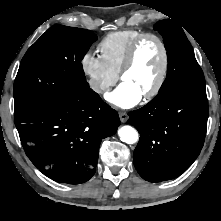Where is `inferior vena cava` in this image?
<instances>
[{
  "label": "inferior vena cava",
  "instance_id": "602c4592",
  "mask_svg": "<svg viewBox=\"0 0 221 221\" xmlns=\"http://www.w3.org/2000/svg\"><path fill=\"white\" fill-rule=\"evenodd\" d=\"M91 87L94 91H97V92H101V91H104V90H107L108 87L103 85V84H99L97 82H94L91 84Z\"/></svg>",
  "mask_w": 221,
  "mask_h": 221
}]
</instances>
